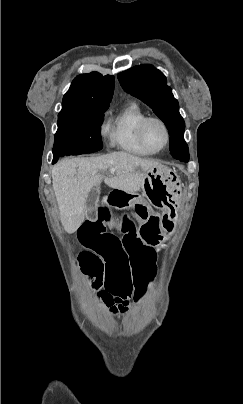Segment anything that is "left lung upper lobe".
Segmentation results:
<instances>
[{
	"label": "left lung upper lobe",
	"instance_id": "1",
	"mask_svg": "<svg viewBox=\"0 0 243 404\" xmlns=\"http://www.w3.org/2000/svg\"><path fill=\"white\" fill-rule=\"evenodd\" d=\"M117 76L127 93L141 99L164 122L170 135V154L178 160L189 159L183 139L185 122L166 77L152 65L136 66Z\"/></svg>",
	"mask_w": 243,
	"mask_h": 404
}]
</instances>
